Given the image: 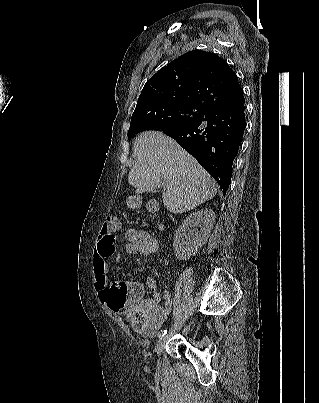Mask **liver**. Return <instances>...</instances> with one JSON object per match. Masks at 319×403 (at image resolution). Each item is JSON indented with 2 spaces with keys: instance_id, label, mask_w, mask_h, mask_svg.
<instances>
[{
  "instance_id": "liver-1",
  "label": "liver",
  "mask_w": 319,
  "mask_h": 403,
  "mask_svg": "<svg viewBox=\"0 0 319 403\" xmlns=\"http://www.w3.org/2000/svg\"><path fill=\"white\" fill-rule=\"evenodd\" d=\"M135 163L128 183L136 194L163 186L164 206L175 214L195 209L212 199L216 184L189 153L172 138L159 131L141 133L133 143Z\"/></svg>"
}]
</instances>
